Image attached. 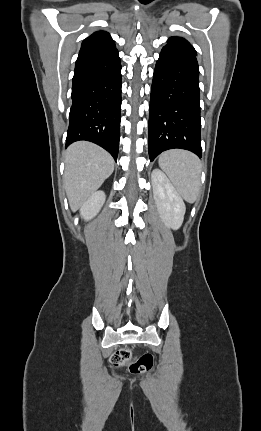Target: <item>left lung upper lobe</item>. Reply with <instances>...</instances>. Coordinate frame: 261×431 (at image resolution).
<instances>
[{
	"instance_id": "5c2ea615",
	"label": "left lung upper lobe",
	"mask_w": 261,
	"mask_h": 431,
	"mask_svg": "<svg viewBox=\"0 0 261 431\" xmlns=\"http://www.w3.org/2000/svg\"><path fill=\"white\" fill-rule=\"evenodd\" d=\"M168 46L177 47L193 54H196L195 49L190 45V43L182 37H170L168 39Z\"/></svg>"
}]
</instances>
